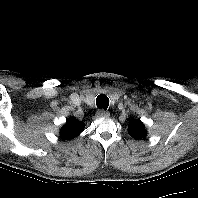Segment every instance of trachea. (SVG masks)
I'll return each instance as SVG.
<instances>
[{
	"label": "trachea",
	"instance_id": "trachea-1",
	"mask_svg": "<svg viewBox=\"0 0 198 198\" xmlns=\"http://www.w3.org/2000/svg\"><path fill=\"white\" fill-rule=\"evenodd\" d=\"M96 105L98 108H101L103 110H107L108 106H109V99L105 94H100L97 98H96Z\"/></svg>",
	"mask_w": 198,
	"mask_h": 198
}]
</instances>
